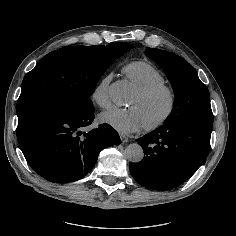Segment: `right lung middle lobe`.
<instances>
[{"instance_id": "right-lung-middle-lobe-1", "label": "right lung middle lobe", "mask_w": 236, "mask_h": 236, "mask_svg": "<svg viewBox=\"0 0 236 236\" xmlns=\"http://www.w3.org/2000/svg\"><path fill=\"white\" fill-rule=\"evenodd\" d=\"M132 48V44L112 43L64 47L47 54L23 79L16 108L18 124L44 111L93 109L89 97L100 77Z\"/></svg>"}]
</instances>
